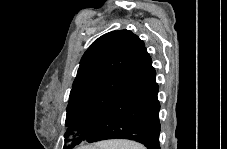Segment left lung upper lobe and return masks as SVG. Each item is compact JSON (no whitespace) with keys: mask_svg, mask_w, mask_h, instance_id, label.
<instances>
[{"mask_svg":"<svg viewBox=\"0 0 227 149\" xmlns=\"http://www.w3.org/2000/svg\"><path fill=\"white\" fill-rule=\"evenodd\" d=\"M144 46L131 31L119 30L102 35L87 49L70 92L65 122L78 133L66 148L79 145L93 132L129 81ZM72 128L66 138L73 134Z\"/></svg>","mask_w":227,"mask_h":149,"instance_id":"1","label":"left lung upper lobe"}]
</instances>
